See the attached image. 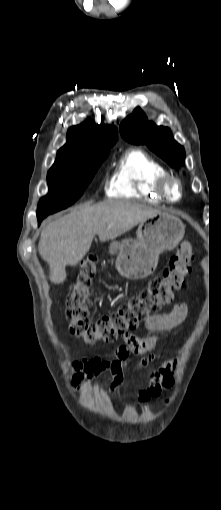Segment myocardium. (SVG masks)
I'll list each match as a JSON object with an SVG mask.
<instances>
[{
	"label": "myocardium",
	"mask_w": 221,
	"mask_h": 510,
	"mask_svg": "<svg viewBox=\"0 0 221 510\" xmlns=\"http://www.w3.org/2000/svg\"><path fill=\"white\" fill-rule=\"evenodd\" d=\"M155 190L160 198L169 203L180 202L184 194L181 181L169 173L161 176L157 180Z\"/></svg>",
	"instance_id": "f54148a6"
}]
</instances>
